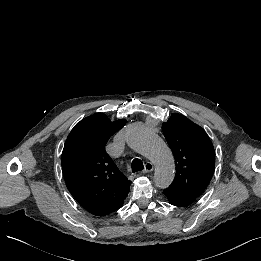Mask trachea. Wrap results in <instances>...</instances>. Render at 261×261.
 Segmentation results:
<instances>
[{
	"instance_id": "3493384b",
	"label": "trachea",
	"mask_w": 261,
	"mask_h": 261,
	"mask_svg": "<svg viewBox=\"0 0 261 261\" xmlns=\"http://www.w3.org/2000/svg\"><path fill=\"white\" fill-rule=\"evenodd\" d=\"M131 167H132V172H139L142 171L144 169V165L143 162L140 159H133L132 163H131Z\"/></svg>"
}]
</instances>
